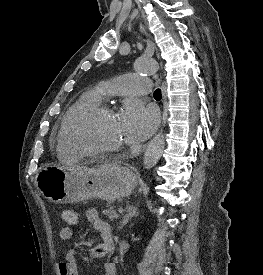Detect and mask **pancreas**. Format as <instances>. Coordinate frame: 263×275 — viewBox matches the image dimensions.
I'll return each mask as SVG.
<instances>
[{
	"label": "pancreas",
	"mask_w": 263,
	"mask_h": 275,
	"mask_svg": "<svg viewBox=\"0 0 263 275\" xmlns=\"http://www.w3.org/2000/svg\"><path fill=\"white\" fill-rule=\"evenodd\" d=\"M103 214L107 215L110 220L118 218V214L114 208H110L108 210H104Z\"/></svg>",
	"instance_id": "cf45deb5"
}]
</instances>
